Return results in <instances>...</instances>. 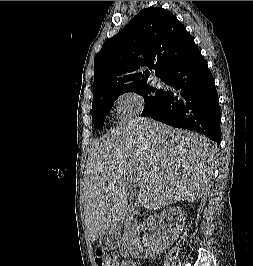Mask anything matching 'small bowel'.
I'll list each match as a JSON object with an SVG mask.
<instances>
[{"mask_svg": "<svg viewBox=\"0 0 253 266\" xmlns=\"http://www.w3.org/2000/svg\"><path fill=\"white\" fill-rule=\"evenodd\" d=\"M118 266H136V263L131 260H124L120 264L118 262Z\"/></svg>", "mask_w": 253, "mask_h": 266, "instance_id": "c3829d8e", "label": "small bowel"}]
</instances>
